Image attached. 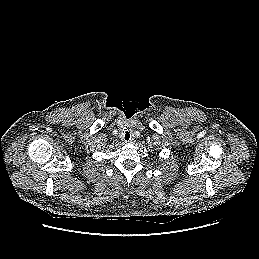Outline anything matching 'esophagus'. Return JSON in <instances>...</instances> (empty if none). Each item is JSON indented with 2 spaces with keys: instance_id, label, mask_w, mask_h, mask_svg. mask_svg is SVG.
I'll list each match as a JSON object with an SVG mask.
<instances>
[{
  "instance_id": "34e87169",
  "label": "esophagus",
  "mask_w": 259,
  "mask_h": 259,
  "mask_svg": "<svg viewBox=\"0 0 259 259\" xmlns=\"http://www.w3.org/2000/svg\"><path fill=\"white\" fill-rule=\"evenodd\" d=\"M122 139L125 143H130L132 140L131 134L128 132L124 133Z\"/></svg>"
}]
</instances>
